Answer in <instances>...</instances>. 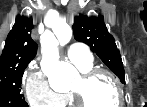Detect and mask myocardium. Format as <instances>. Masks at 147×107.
<instances>
[{
	"mask_svg": "<svg viewBox=\"0 0 147 107\" xmlns=\"http://www.w3.org/2000/svg\"><path fill=\"white\" fill-rule=\"evenodd\" d=\"M104 75L108 77L111 82L114 84L116 91H117V104L116 106H121L123 104V89L118 80V78L110 71L100 68H90L86 71H82L81 73V80L83 84H87L93 81L96 77ZM71 96L73 98L74 104L76 107H89L83 99V96L80 92L76 90H71Z\"/></svg>",
	"mask_w": 147,
	"mask_h": 107,
	"instance_id": "myocardium-1",
	"label": "myocardium"
}]
</instances>
